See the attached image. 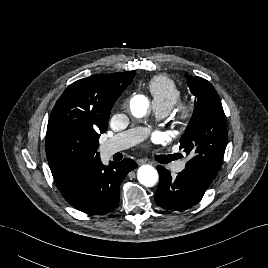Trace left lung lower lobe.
Instances as JSON below:
<instances>
[{
	"label": "left lung lower lobe",
	"instance_id": "obj_1",
	"mask_svg": "<svg viewBox=\"0 0 268 268\" xmlns=\"http://www.w3.org/2000/svg\"><path fill=\"white\" fill-rule=\"evenodd\" d=\"M160 180L154 196L158 206L168 210H185L197 204L210 183L193 173L183 170L176 178L162 166H158Z\"/></svg>",
	"mask_w": 268,
	"mask_h": 268
}]
</instances>
